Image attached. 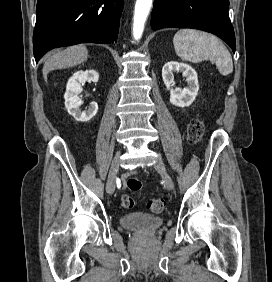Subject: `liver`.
Masks as SVG:
<instances>
[{
	"instance_id": "liver-1",
	"label": "liver",
	"mask_w": 272,
	"mask_h": 282,
	"mask_svg": "<svg viewBox=\"0 0 272 282\" xmlns=\"http://www.w3.org/2000/svg\"><path fill=\"white\" fill-rule=\"evenodd\" d=\"M88 58V50L84 45H74L65 50L57 51L48 57L44 63L43 76L55 69H65L85 62Z\"/></svg>"
}]
</instances>
